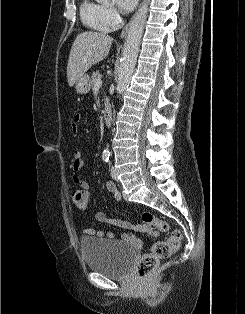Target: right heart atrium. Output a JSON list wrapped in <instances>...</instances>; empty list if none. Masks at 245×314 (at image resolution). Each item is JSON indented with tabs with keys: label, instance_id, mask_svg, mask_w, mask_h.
Returning <instances> with one entry per match:
<instances>
[{
	"label": "right heart atrium",
	"instance_id": "right-heart-atrium-1",
	"mask_svg": "<svg viewBox=\"0 0 245 314\" xmlns=\"http://www.w3.org/2000/svg\"><path fill=\"white\" fill-rule=\"evenodd\" d=\"M118 11L110 6H102L101 25L105 30H112L119 23Z\"/></svg>",
	"mask_w": 245,
	"mask_h": 314
}]
</instances>
